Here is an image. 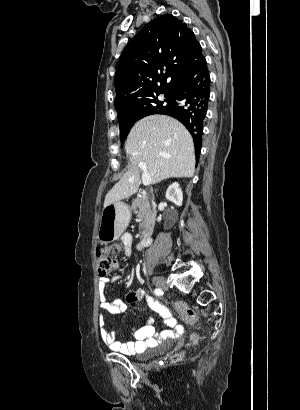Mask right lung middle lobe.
Here are the masks:
<instances>
[{"mask_svg": "<svg viewBox=\"0 0 300 410\" xmlns=\"http://www.w3.org/2000/svg\"><path fill=\"white\" fill-rule=\"evenodd\" d=\"M172 92L173 91H160L158 93L149 95L142 100V108L138 116L119 121L121 141H124L127 138L130 129L137 120L147 115L155 114L162 108L168 106L173 101ZM160 94H164L167 99H165L164 101L158 100L157 96H159Z\"/></svg>", "mask_w": 300, "mask_h": 410, "instance_id": "right-lung-middle-lobe-1", "label": "right lung middle lobe"}]
</instances>
